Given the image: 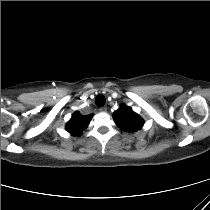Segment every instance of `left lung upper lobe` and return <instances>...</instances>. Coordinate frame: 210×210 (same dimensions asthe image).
<instances>
[{
  "mask_svg": "<svg viewBox=\"0 0 210 210\" xmlns=\"http://www.w3.org/2000/svg\"><path fill=\"white\" fill-rule=\"evenodd\" d=\"M118 127L126 132H133L141 128L143 120L130 107L122 106L113 115Z\"/></svg>",
  "mask_w": 210,
  "mask_h": 210,
  "instance_id": "1",
  "label": "left lung upper lobe"
}]
</instances>
